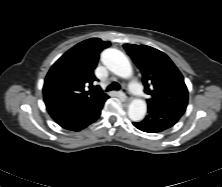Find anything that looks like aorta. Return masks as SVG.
Returning <instances> with one entry per match:
<instances>
[{"label":"aorta","instance_id":"1","mask_svg":"<svg viewBox=\"0 0 222 187\" xmlns=\"http://www.w3.org/2000/svg\"><path fill=\"white\" fill-rule=\"evenodd\" d=\"M101 61L105 67L115 75L130 78L133 74L129 59L121 51L108 48L101 53ZM147 111L146 102L142 99H133L128 107V116L134 122L144 119Z\"/></svg>","mask_w":222,"mask_h":187}]
</instances>
